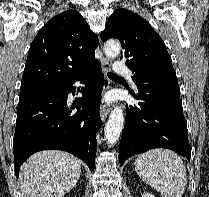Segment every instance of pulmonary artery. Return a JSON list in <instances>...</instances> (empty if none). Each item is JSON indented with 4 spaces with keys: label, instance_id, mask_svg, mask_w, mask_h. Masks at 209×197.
I'll use <instances>...</instances> for the list:
<instances>
[{
    "label": "pulmonary artery",
    "instance_id": "1",
    "mask_svg": "<svg viewBox=\"0 0 209 197\" xmlns=\"http://www.w3.org/2000/svg\"><path fill=\"white\" fill-rule=\"evenodd\" d=\"M114 70L116 73L121 74V75H125L128 78H131L133 75L132 70L129 67H127L124 63H122L121 61H118L116 63Z\"/></svg>",
    "mask_w": 209,
    "mask_h": 197
}]
</instances>
